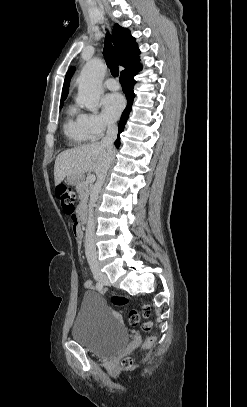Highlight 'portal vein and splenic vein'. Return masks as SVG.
<instances>
[{"label":"portal vein and splenic vein","mask_w":247,"mask_h":407,"mask_svg":"<svg viewBox=\"0 0 247 407\" xmlns=\"http://www.w3.org/2000/svg\"><path fill=\"white\" fill-rule=\"evenodd\" d=\"M96 179V176L94 174L88 175L87 176V182L93 183Z\"/></svg>","instance_id":"1"}]
</instances>
